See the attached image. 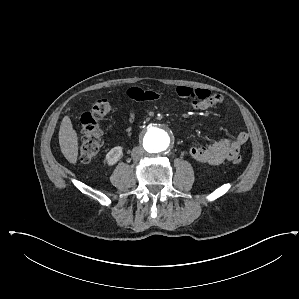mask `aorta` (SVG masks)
<instances>
[{
    "label": "aorta",
    "mask_w": 299,
    "mask_h": 299,
    "mask_svg": "<svg viewBox=\"0 0 299 299\" xmlns=\"http://www.w3.org/2000/svg\"><path fill=\"white\" fill-rule=\"evenodd\" d=\"M169 145V134L166 130L160 127H150L144 135L143 147L145 151L152 156L164 153Z\"/></svg>",
    "instance_id": "1"
}]
</instances>
